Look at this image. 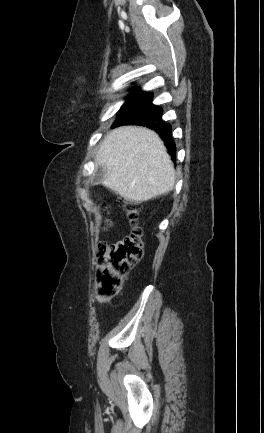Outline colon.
<instances>
[{"label":"colon","instance_id":"1","mask_svg":"<svg viewBox=\"0 0 264 433\" xmlns=\"http://www.w3.org/2000/svg\"><path fill=\"white\" fill-rule=\"evenodd\" d=\"M124 210L131 232L119 241L101 244L98 249V292L104 298L119 293L122 279L143 256V231L138 226L141 207L136 202H125Z\"/></svg>","mask_w":264,"mask_h":433}]
</instances>
